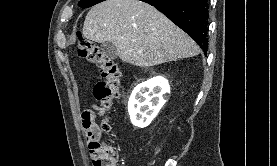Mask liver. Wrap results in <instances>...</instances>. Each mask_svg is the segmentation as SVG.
Masks as SVG:
<instances>
[{
    "label": "liver",
    "mask_w": 277,
    "mask_h": 166,
    "mask_svg": "<svg viewBox=\"0 0 277 166\" xmlns=\"http://www.w3.org/2000/svg\"><path fill=\"white\" fill-rule=\"evenodd\" d=\"M86 39L112 42L120 59L152 67L200 53L195 41L153 6L139 0H105L91 8Z\"/></svg>",
    "instance_id": "1"
}]
</instances>
